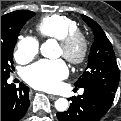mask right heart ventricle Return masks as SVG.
<instances>
[{
    "label": "right heart ventricle",
    "mask_w": 121,
    "mask_h": 121,
    "mask_svg": "<svg viewBox=\"0 0 121 121\" xmlns=\"http://www.w3.org/2000/svg\"><path fill=\"white\" fill-rule=\"evenodd\" d=\"M37 31L44 37L60 40L66 35L79 30L78 23L64 15H49L36 25Z\"/></svg>",
    "instance_id": "e07e8e85"
}]
</instances>
